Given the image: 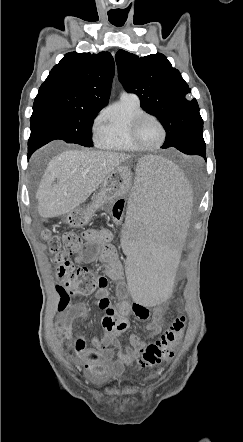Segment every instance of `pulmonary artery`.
<instances>
[{"instance_id": "obj_1", "label": "pulmonary artery", "mask_w": 243, "mask_h": 442, "mask_svg": "<svg viewBox=\"0 0 243 442\" xmlns=\"http://www.w3.org/2000/svg\"><path fill=\"white\" fill-rule=\"evenodd\" d=\"M124 97H136L134 94H129V93H122L121 98Z\"/></svg>"}]
</instances>
